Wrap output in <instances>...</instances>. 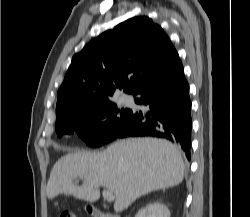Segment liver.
Segmentation results:
<instances>
[{"label":"liver","mask_w":250,"mask_h":217,"mask_svg":"<svg viewBox=\"0 0 250 217\" xmlns=\"http://www.w3.org/2000/svg\"><path fill=\"white\" fill-rule=\"evenodd\" d=\"M83 184H74L75 178ZM184 162L176 145L164 139L117 140L101 152L74 151L53 166L46 187L48 199L73 195L87 202L100 198V187L114 193L115 212L127 209L152 191L180 184Z\"/></svg>","instance_id":"obj_1"}]
</instances>
